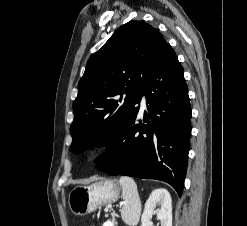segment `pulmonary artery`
<instances>
[{"label": "pulmonary artery", "mask_w": 247, "mask_h": 226, "mask_svg": "<svg viewBox=\"0 0 247 226\" xmlns=\"http://www.w3.org/2000/svg\"><path fill=\"white\" fill-rule=\"evenodd\" d=\"M141 108L142 109H145L146 108V98H145V96L142 97V100H141Z\"/></svg>", "instance_id": "obj_1"}]
</instances>
